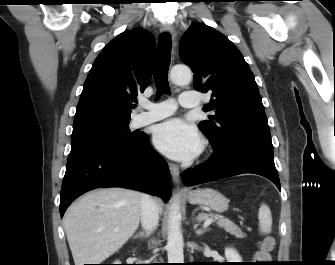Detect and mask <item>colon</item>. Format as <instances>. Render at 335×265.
I'll use <instances>...</instances> for the list:
<instances>
[{"mask_svg":"<svg viewBox=\"0 0 335 265\" xmlns=\"http://www.w3.org/2000/svg\"><path fill=\"white\" fill-rule=\"evenodd\" d=\"M274 247V240L271 237L264 238L259 245V250L256 253L258 263H269L270 253Z\"/></svg>","mask_w":335,"mask_h":265,"instance_id":"5ec220e1","label":"colon"}]
</instances>
